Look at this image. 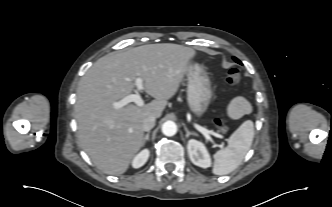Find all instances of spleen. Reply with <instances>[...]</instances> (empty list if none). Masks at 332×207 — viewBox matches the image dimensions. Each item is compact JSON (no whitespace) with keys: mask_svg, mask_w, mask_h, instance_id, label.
Returning <instances> with one entry per match:
<instances>
[{"mask_svg":"<svg viewBox=\"0 0 332 207\" xmlns=\"http://www.w3.org/2000/svg\"><path fill=\"white\" fill-rule=\"evenodd\" d=\"M253 137L254 124L247 120L230 136L228 146L214 154L212 172L215 175H226L234 171L250 149Z\"/></svg>","mask_w":332,"mask_h":207,"instance_id":"1","label":"spleen"}]
</instances>
